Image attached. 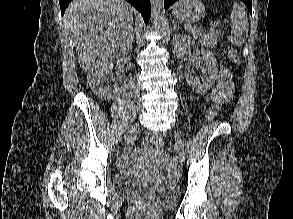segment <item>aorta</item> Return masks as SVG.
Segmentation results:
<instances>
[{
    "label": "aorta",
    "instance_id": "1",
    "mask_svg": "<svg viewBox=\"0 0 293 219\" xmlns=\"http://www.w3.org/2000/svg\"><path fill=\"white\" fill-rule=\"evenodd\" d=\"M151 13L155 27L161 29L166 24L164 0H151Z\"/></svg>",
    "mask_w": 293,
    "mask_h": 219
}]
</instances>
